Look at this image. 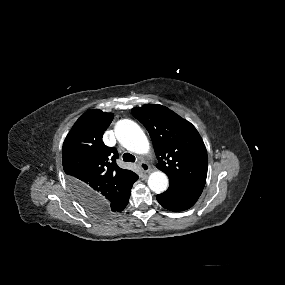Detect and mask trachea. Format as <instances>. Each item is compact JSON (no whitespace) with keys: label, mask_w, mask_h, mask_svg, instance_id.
Listing matches in <instances>:
<instances>
[{"label":"trachea","mask_w":285,"mask_h":285,"mask_svg":"<svg viewBox=\"0 0 285 285\" xmlns=\"http://www.w3.org/2000/svg\"><path fill=\"white\" fill-rule=\"evenodd\" d=\"M123 160L125 162H135L136 158L134 155L130 154V153H124L123 155Z\"/></svg>","instance_id":"obj_1"}]
</instances>
